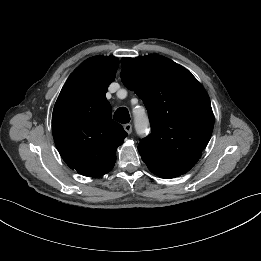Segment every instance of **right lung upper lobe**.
<instances>
[{"mask_svg": "<svg viewBox=\"0 0 261 261\" xmlns=\"http://www.w3.org/2000/svg\"><path fill=\"white\" fill-rule=\"evenodd\" d=\"M118 66V58L112 56L85 60L67 79L53 109L55 145L67 165L84 176L111 171L117 147L127 136L112 120L105 96Z\"/></svg>", "mask_w": 261, "mask_h": 261, "instance_id": "cb5924a9", "label": "right lung upper lobe"}]
</instances>
